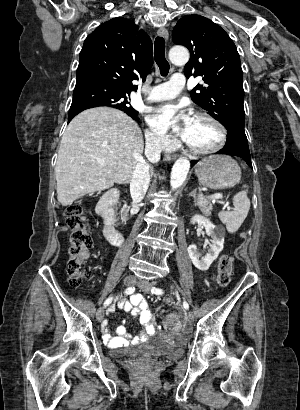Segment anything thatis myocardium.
<instances>
[{"label":"myocardium","mask_w":300,"mask_h":410,"mask_svg":"<svg viewBox=\"0 0 300 410\" xmlns=\"http://www.w3.org/2000/svg\"><path fill=\"white\" fill-rule=\"evenodd\" d=\"M195 118L205 119V120L212 122L214 125H216L220 131L221 138L218 144H216L214 147H211L209 149H199L186 142V147L189 149V151L197 155H209V154H213V153L220 151L226 145L227 140H228V130L226 126L224 125V123L220 121L218 118H216L215 116L205 113V112L197 113L195 115Z\"/></svg>","instance_id":"myocardium-1"}]
</instances>
